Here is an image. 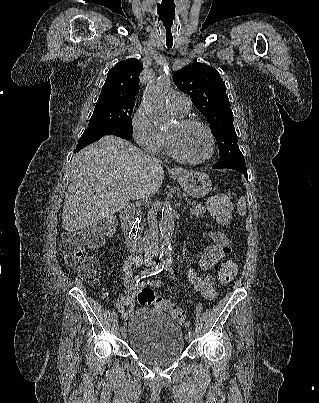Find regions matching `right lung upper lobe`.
Instances as JSON below:
<instances>
[{
    "label": "right lung upper lobe",
    "mask_w": 319,
    "mask_h": 403,
    "mask_svg": "<svg viewBox=\"0 0 319 403\" xmlns=\"http://www.w3.org/2000/svg\"><path fill=\"white\" fill-rule=\"evenodd\" d=\"M143 65L135 58L117 63L107 74L97 103L134 104Z\"/></svg>",
    "instance_id": "cb5924a9"
}]
</instances>
